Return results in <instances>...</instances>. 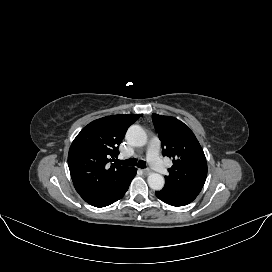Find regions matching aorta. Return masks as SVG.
<instances>
[{"instance_id": "obj_1", "label": "aorta", "mask_w": 272, "mask_h": 272, "mask_svg": "<svg viewBox=\"0 0 272 272\" xmlns=\"http://www.w3.org/2000/svg\"><path fill=\"white\" fill-rule=\"evenodd\" d=\"M129 142L136 147L144 146L147 143V134L139 125H132L127 130ZM148 185L151 189L159 191L164 187V177L158 173H151L148 176Z\"/></svg>"}]
</instances>
